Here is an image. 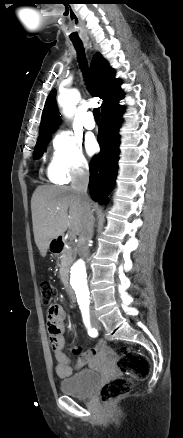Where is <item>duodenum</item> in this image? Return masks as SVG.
Instances as JSON below:
<instances>
[{
    "label": "duodenum",
    "instance_id": "1",
    "mask_svg": "<svg viewBox=\"0 0 183 438\" xmlns=\"http://www.w3.org/2000/svg\"><path fill=\"white\" fill-rule=\"evenodd\" d=\"M56 245H57V248L59 250H61L63 248V245H64L63 240L62 239H58ZM65 289H66V293H67V296H68L69 300L71 302H75L76 301V296H75V293H74L73 289L68 284H66Z\"/></svg>",
    "mask_w": 183,
    "mask_h": 438
}]
</instances>
